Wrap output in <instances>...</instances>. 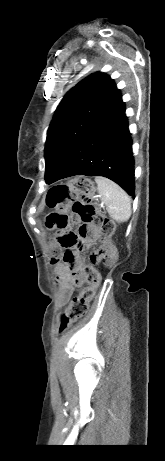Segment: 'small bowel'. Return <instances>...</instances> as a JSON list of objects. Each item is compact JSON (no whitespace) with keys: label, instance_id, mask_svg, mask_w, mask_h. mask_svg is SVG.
I'll return each mask as SVG.
<instances>
[{"label":"small bowel","instance_id":"obj_1","mask_svg":"<svg viewBox=\"0 0 165 461\" xmlns=\"http://www.w3.org/2000/svg\"><path fill=\"white\" fill-rule=\"evenodd\" d=\"M56 241V249L60 251V263L55 267L56 283L59 288V300L64 303L69 298L72 289L82 286L84 275L81 266L84 258L79 250L91 247L98 239L96 225H73V229H57L52 234ZM115 254V252H114Z\"/></svg>","mask_w":165,"mask_h":461}]
</instances>
